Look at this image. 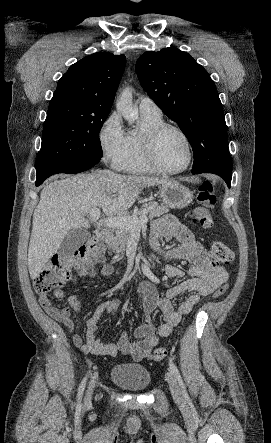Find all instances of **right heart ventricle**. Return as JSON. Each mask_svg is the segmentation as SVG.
Returning a JSON list of instances; mask_svg holds the SVG:
<instances>
[{
	"label": "right heart ventricle",
	"mask_w": 271,
	"mask_h": 443,
	"mask_svg": "<svg viewBox=\"0 0 271 443\" xmlns=\"http://www.w3.org/2000/svg\"><path fill=\"white\" fill-rule=\"evenodd\" d=\"M161 115L141 114V123L138 128L126 135V151L119 165L120 169L129 173L156 172L147 161L144 149V140L147 132L155 125L163 123Z\"/></svg>",
	"instance_id": "1"
}]
</instances>
